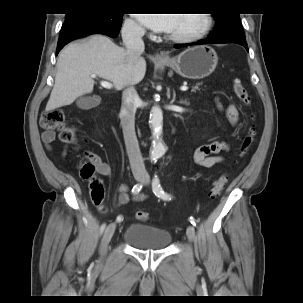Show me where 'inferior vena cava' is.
<instances>
[{
	"label": "inferior vena cava",
	"mask_w": 303,
	"mask_h": 303,
	"mask_svg": "<svg viewBox=\"0 0 303 303\" xmlns=\"http://www.w3.org/2000/svg\"><path fill=\"white\" fill-rule=\"evenodd\" d=\"M121 34L129 62L132 64L136 63L144 52V42L142 40L144 29L134 22L127 21L122 26ZM139 101V96L133 85H129L123 90L120 113L121 125L130 166L134 175L146 173L144 160L135 134V113Z\"/></svg>",
	"instance_id": "inferior-vena-cava-1"
}]
</instances>
